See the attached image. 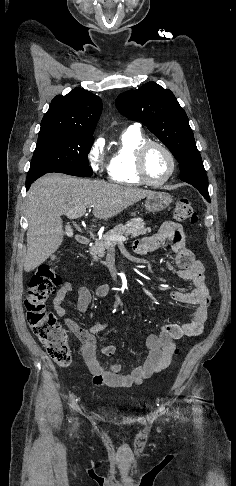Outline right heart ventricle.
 Here are the masks:
<instances>
[{
	"label": "right heart ventricle",
	"mask_w": 236,
	"mask_h": 486,
	"mask_svg": "<svg viewBox=\"0 0 236 486\" xmlns=\"http://www.w3.org/2000/svg\"><path fill=\"white\" fill-rule=\"evenodd\" d=\"M145 141V134L137 127L127 128L121 133L108 165L109 176L113 182L130 186L143 184L136 173L135 153Z\"/></svg>",
	"instance_id": "1"
}]
</instances>
